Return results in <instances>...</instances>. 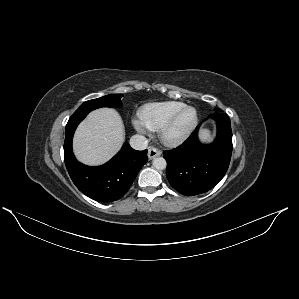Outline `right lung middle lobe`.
I'll return each instance as SVG.
<instances>
[{
    "label": "right lung middle lobe",
    "instance_id": "right-lung-middle-lobe-1",
    "mask_svg": "<svg viewBox=\"0 0 299 299\" xmlns=\"http://www.w3.org/2000/svg\"><path fill=\"white\" fill-rule=\"evenodd\" d=\"M122 94H110L97 99H92L84 102L74 114H88L90 111L100 107H120Z\"/></svg>",
    "mask_w": 299,
    "mask_h": 299
}]
</instances>
